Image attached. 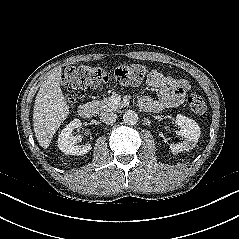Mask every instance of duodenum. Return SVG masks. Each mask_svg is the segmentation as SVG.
Returning <instances> with one entry per match:
<instances>
[{
  "label": "duodenum",
  "mask_w": 239,
  "mask_h": 239,
  "mask_svg": "<svg viewBox=\"0 0 239 239\" xmlns=\"http://www.w3.org/2000/svg\"><path fill=\"white\" fill-rule=\"evenodd\" d=\"M94 112L93 106L90 104H81L78 107V114L80 117L84 118V119H89L92 117Z\"/></svg>",
  "instance_id": "410a0bca"
}]
</instances>
